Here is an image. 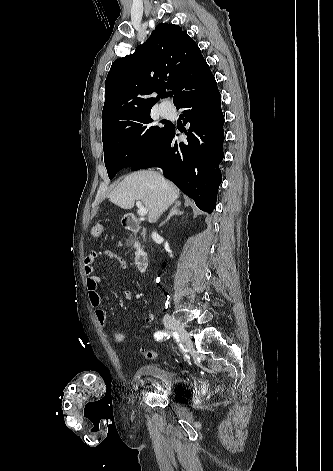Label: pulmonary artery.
<instances>
[{"label":"pulmonary artery","mask_w":333,"mask_h":471,"mask_svg":"<svg viewBox=\"0 0 333 471\" xmlns=\"http://www.w3.org/2000/svg\"><path fill=\"white\" fill-rule=\"evenodd\" d=\"M160 112L164 116H170L173 113V108L169 105L163 104L160 107Z\"/></svg>","instance_id":"e3ab8cb5"}]
</instances>
